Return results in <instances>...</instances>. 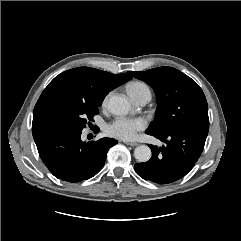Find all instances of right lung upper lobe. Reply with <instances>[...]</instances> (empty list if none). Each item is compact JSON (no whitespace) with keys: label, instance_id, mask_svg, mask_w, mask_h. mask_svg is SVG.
I'll list each match as a JSON object with an SVG mask.
<instances>
[{"label":"right lung upper lobe","instance_id":"right-lung-upper-lobe-1","mask_svg":"<svg viewBox=\"0 0 241 241\" xmlns=\"http://www.w3.org/2000/svg\"><path fill=\"white\" fill-rule=\"evenodd\" d=\"M132 79L128 74H112L90 67H78L56 76L39 99L62 93L87 101H103L113 89Z\"/></svg>","mask_w":241,"mask_h":241}]
</instances>
